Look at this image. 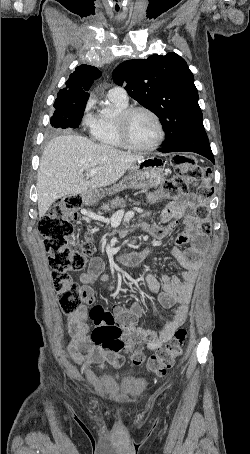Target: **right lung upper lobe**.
<instances>
[{
  "label": "right lung upper lobe",
  "mask_w": 250,
  "mask_h": 454,
  "mask_svg": "<svg viewBox=\"0 0 250 454\" xmlns=\"http://www.w3.org/2000/svg\"><path fill=\"white\" fill-rule=\"evenodd\" d=\"M101 76V72L93 66L80 65L67 80L66 88L60 90L55 101L77 103L87 102L90 86Z\"/></svg>",
  "instance_id": "1"
}]
</instances>
